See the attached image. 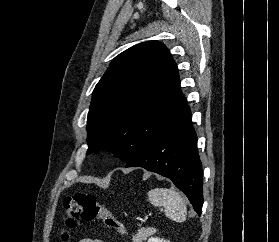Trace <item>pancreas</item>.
Returning a JSON list of instances; mask_svg holds the SVG:
<instances>
[{
	"instance_id": "pancreas-1",
	"label": "pancreas",
	"mask_w": 279,
	"mask_h": 242,
	"mask_svg": "<svg viewBox=\"0 0 279 242\" xmlns=\"http://www.w3.org/2000/svg\"><path fill=\"white\" fill-rule=\"evenodd\" d=\"M153 234L152 229H140L137 234L132 236L133 242H142L147 239L150 235Z\"/></svg>"
}]
</instances>
